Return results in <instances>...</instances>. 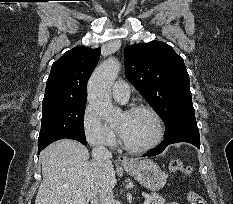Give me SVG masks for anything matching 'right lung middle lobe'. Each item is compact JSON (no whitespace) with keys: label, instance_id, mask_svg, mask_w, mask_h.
I'll return each mask as SVG.
<instances>
[{"label":"right lung middle lobe","instance_id":"obj_1","mask_svg":"<svg viewBox=\"0 0 233 204\" xmlns=\"http://www.w3.org/2000/svg\"><path fill=\"white\" fill-rule=\"evenodd\" d=\"M86 100H63L43 103L38 148L64 138L85 139Z\"/></svg>","mask_w":233,"mask_h":204}]
</instances>
